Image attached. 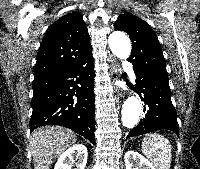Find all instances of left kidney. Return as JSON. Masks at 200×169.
I'll return each instance as SVG.
<instances>
[{
    "label": "left kidney",
    "instance_id": "5707ae66",
    "mask_svg": "<svg viewBox=\"0 0 200 169\" xmlns=\"http://www.w3.org/2000/svg\"><path fill=\"white\" fill-rule=\"evenodd\" d=\"M124 159L126 169H155L149 160L133 150L127 151Z\"/></svg>",
    "mask_w": 200,
    "mask_h": 169
}]
</instances>
